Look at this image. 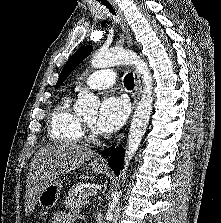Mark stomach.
I'll use <instances>...</instances> for the list:
<instances>
[{"label":"stomach","mask_w":221,"mask_h":223,"mask_svg":"<svg viewBox=\"0 0 221 223\" xmlns=\"http://www.w3.org/2000/svg\"><path fill=\"white\" fill-rule=\"evenodd\" d=\"M92 170L95 173H102L105 170L104 165L92 163ZM62 185L58 182L49 183L39 194L38 202L44 209H50L54 207L59 199Z\"/></svg>","instance_id":"stomach-1"}]
</instances>
